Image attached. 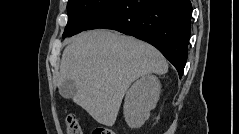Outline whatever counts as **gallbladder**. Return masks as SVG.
Masks as SVG:
<instances>
[{"mask_svg":"<svg viewBox=\"0 0 239 134\" xmlns=\"http://www.w3.org/2000/svg\"><path fill=\"white\" fill-rule=\"evenodd\" d=\"M59 93L63 98H72L76 93L75 82L68 79L64 80L59 86Z\"/></svg>","mask_w":239,"mask_h":134,"instance_id":"bac80fb5","label":"gallbladder"}]
</instances>
